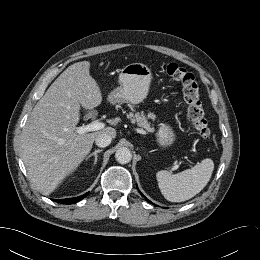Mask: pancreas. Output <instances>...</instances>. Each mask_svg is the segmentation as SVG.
I'll return each instance as SVG.
<instances>
[{
  "label": "pancreas",
  "instance_id": "cf45deb5",
  "mask_svg": "<svg viewBox=\"0 0 260 260\" xmlns=\"http://www.w3.org/2000/svg\"><path fill=\"white\" fill-rule=\"evenodd\" d=\"M127 117L130 119L131 123H137L138 126L143 127L148 132H153L154 128L148 122V118L155 119V115L153 113H149L148 117L144 115V113H129Z\"/></svg>",
  "mask_w": 260,
  "mask_h": 260
}]
</instances>
